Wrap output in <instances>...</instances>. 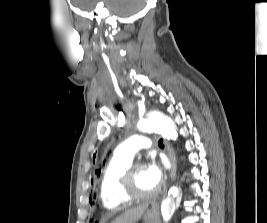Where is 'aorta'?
<instances>
[{
  "mask_svg": "<svg viewBox=\"0 0 267 223\" xmlns=\"http://www.w3.org/2000/svg\"><path fill=\"white\" fill-rule=\"evenodd\" d=\"M138 128L142 131H152L161 134L168 140H176L178 133L171 119L154 115L138 123ZM181 192L177 186H172L165 194L161 202V213L165 223H168L173 216L175 209L181 202Z\"/></svg>",
  "mask_w": 267,
  "mask_h": 223,
  "instance_id": "762f6f07",
  "label": "aorta"
}]
</instances>
